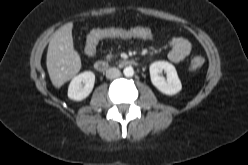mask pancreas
<instances>
[{"label": "pancreas", "mask_w": 248, "mask_h": 165, "mask_svg": "<svg viewBox=\"0 0 248 165\" xmlns=\"http://www.w3.org/2000/svg\"><path fill=\"white\" fill-rule=\"evenodd\" d=\"M107 60H111L113 58V55L112 54H109L106 56Z\"/></svg>", "instance_id": "pancreas-1"}]
</instances>
